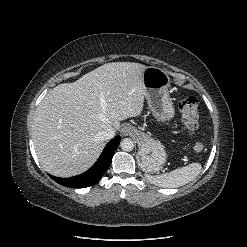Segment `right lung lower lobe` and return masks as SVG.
I'll list each match as a JSON object with an SVG mask.
<instances>
[{
	"label": "right lung lower lobe",
	"instance_id": "1",
	"mask_svg": "<svg viewBox=\"0 0 247 247\" xmlns=\"http://www.w3.org/2000/svg\"><path fill=\"white\" fill-rule=\"evenodd\" d=\"M120 139V136L113 138L106 145L96 163L86 172L70 178H59L55 176H51V178L61 185L72 188H85L95 185L109 168Z\"/></svg>",
	"mask_w": 247,
	"mask_h": 247
}]
</instances>
